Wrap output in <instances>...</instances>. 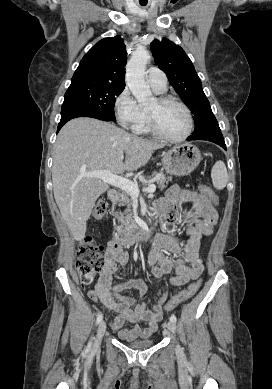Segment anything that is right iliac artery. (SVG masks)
Masks as SVG:
<instances>
[{"label":"right iliac artery","instance_id":"82829eb1","mask_svg":"<svg viewBox=\"0 0 272 389\" xmlns=\"http://www.w3.org/2000/svg\"><path fill=\"white\" fill-rule=\"evenodd\" d=\"M102 319H103V315H102V313H100V314L98 315V317H97L96 323L99 324V323L102 321ZM91 345H92V341H89V343H88V345H87V348H86V350H85L87 353L90 352V350H91Z\"/></svg>","mask_w":272,"mask_h":389}]
</instances>
